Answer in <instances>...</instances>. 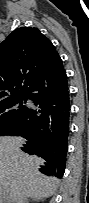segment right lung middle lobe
Instances as JSON below:
<instances>
[{"label": "right lung middle lobe", "mask_w": 89, "mask_h": 203, "mask_svg": "<svg viewBox=\"0 0 89 203\" xmlns=\"http://www.w3.org/2000/svg\"><path fill=\"white\" fill-rule=\"evenodd\" d=\"M23 100L26 101L27 96L0 105V136L10 134L28 111V108L22 105Z\"/></svg>", "instance_id": "dd1d6c3e"}]
</instances>
